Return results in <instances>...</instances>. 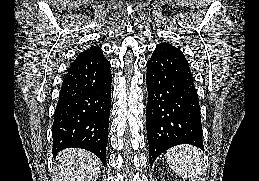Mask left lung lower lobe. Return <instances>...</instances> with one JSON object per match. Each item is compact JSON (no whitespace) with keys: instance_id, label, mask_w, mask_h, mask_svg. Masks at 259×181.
Returning a JSON list of instances; mask_svg holds the SVG:
<instances>
[{"instance_id":"left-lung-lower-lobe-1","label":"left lung lower lobe","mask_w":259,"mask_h":181,"mask_svg":"<svg viewBox=\"0 0 259 181\" xmlns=\"http://www.w3.org/2000/svg\"><path fill=\"white\" fill-rule=\"evenodd\" d=\"M149 162L179 144L204 149L197 90L180 49L158 44L147 62Z\"/></svg>"}]
</instances>
